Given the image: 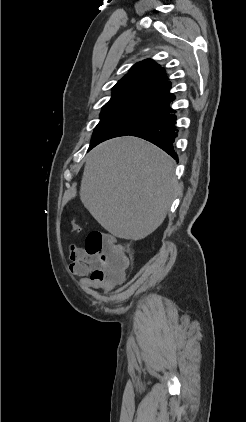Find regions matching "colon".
Segmentation results:
<instances>
[{
    "instance_id": "obj_1",
    "label": "colon",
    "mask_w": 246,
    "mask_h": 422,
    "mask_svg": "<svg viewBox=\"0 0 246 422\" xmlns=\"http://www.w3.org/2000/svg\"><path fill=\"white\" fill-rule=\"evenodd\" d=\"M72 229L79 231L80 226L72 223ZM85 250L88 254L97 257L98 268L94 272V277L115 279L123 274L127 259L122 247L113 236L92 231L86 238Z\"/></svg>"
}]
</instances>
